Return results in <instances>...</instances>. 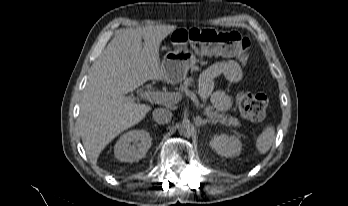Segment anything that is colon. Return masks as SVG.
<instances>
[{
    "label": "colon",
    "instance_id": "colon-1",
    "mask_svg": "<svg viewBox=\"0 0 348 206\" xmlns=\"http://www.w3.org/2000/svg\"><path fill=\"white\" fill-rule=\"evenodd\" d=\"M173 39L177 43H204L220 55L237 56L241 59H249L250 56L249 38L236 31L188 28L176 31ZM237 104L244 117L258 122L266 116L268 99L264 94L241 92L237 97Z\"/></svg>",
    "mask_w": 348,
    "mask_h": 206
}]
</instances>
